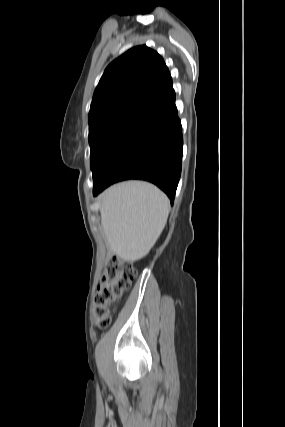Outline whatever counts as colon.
<instances>
[{"label":"colon","mask_w":285,"mask_h":427,"mask_svg":"<svg viewBox=\"0 0 285 427\" xmlns=\"http://www.w3.org/2000/svg\"><path fill=\"white\" fill-rule=\"evenodd\" d=\"M136 276V271L128 262L111 260L99 282L93 298L94 324L106 328L111 322L112 306L126 292Z\"/></svg>","instance_id":"1"}]
</instances>
